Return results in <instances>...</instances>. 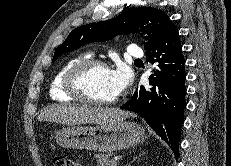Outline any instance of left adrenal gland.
<instances>
[{"instance_id":"1","label":"left adrenal gland","mask_w":231,"mask_h":166,"mask_svg":"<svg viewBox=\"0 0 231 166\" xmlns=\"http://www.w3.org/2000/svg\"><path fill=\"white\" fill-rule=\"evenodd\" d=\"M144 154H145V152H142V153H140L138 156L134 157V159H133L127 166H130L131 163H133L134 161H136V159H137L138 157H141V156L144 155Z\"/></svg>"}]
</instances>
